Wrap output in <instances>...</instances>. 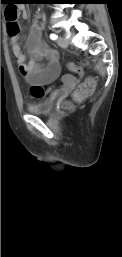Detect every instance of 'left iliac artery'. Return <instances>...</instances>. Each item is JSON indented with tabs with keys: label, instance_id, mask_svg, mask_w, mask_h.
Instances as JSON below:
<instances>
[{
	"label": "left iliac artery",
	"instance_id": "1",
	"mask_svg": "<svg viewBox=\"0 0 122 257\" xmlns=\"http://www.w3.org/2000/svg\"><path fill=\"white\" fill-rule=\"evenodd\" d=\"M57 38H58V36L55 33L50 34V39L51 40H56Z\"/></svg>",
	"mask_w": 122,
	"mask_h": 257
}]
</instances>
